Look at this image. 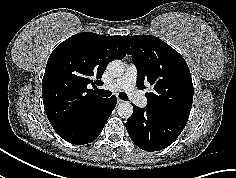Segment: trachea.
I'll return each mask as SVG.
<instances>
[{"mask_svg": "<svg viewBox=\"0 0 236 178\" xmlns=\"http://www.w3.org/2000/svg\"><path fill=\"white\" fill-rule=\"evenodd\" d=\"M95 91L103 97H110L111 96V92L107 91V90L95 89ZM119 98L122 99V100L128 101V97L124 92L119 93Z\"/></svg>", "mask_w": 236, "mask_h": 178, "instance_id": "trachea-1", "label": "trachea"}]
</instances>
